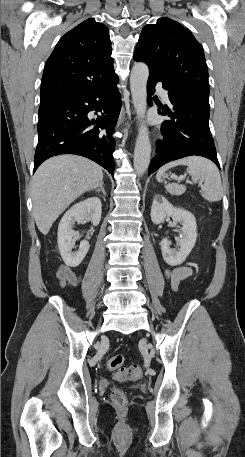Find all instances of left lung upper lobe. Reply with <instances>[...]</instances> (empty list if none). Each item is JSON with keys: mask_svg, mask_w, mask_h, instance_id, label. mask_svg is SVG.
<instances>
[{"mask_svg": "<svg viewBox=\"0 0 245 457\" xmlns=\"http://www.w3.org/2000/svg\"><path fill=\"white\" fill-rule=\"evenodd\" d=\"M134 59L145 62L173 87L175 100L210 108L204 51L189 29L166 17L146 25L136 45Z\"/></svg>", "mask_w": 245, "mask_h": 457, "instance_id": "1", "label": "left lung upper lobe"}]
</instances>
